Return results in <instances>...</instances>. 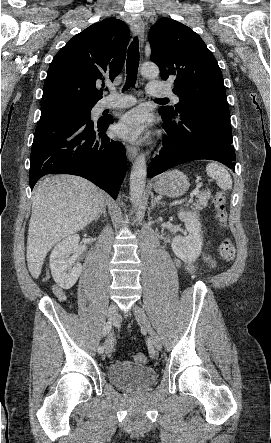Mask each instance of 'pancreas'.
<instances>
[{"instance_id": "pancreas-1", "label": "pancreas", "mask_w": 271, "mask_h": 443, "mask_svg": "<svg viewBox=\"0 0 271 443\" xmlns=\"http://www.w3.org/2000/svg\"><path fill=\"white\" fill-rule=\"evenodd\" d=\"M209 198H211V192H201V194L198 196L195 208H192L193 212H198V210H203V208H206Z\"/></svg>"}]
</instances>
